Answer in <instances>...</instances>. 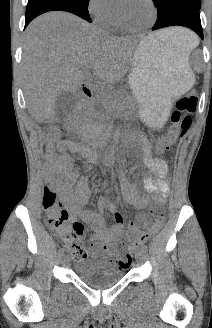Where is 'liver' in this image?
Masks as SVG:
<instances>
[{
  "label": "liver",
  "mask_w": 212,
  "mask_h": 328,
  "mask_svg": "<svg viewBox=\"0 0 212 328\" xmlns=\"http://www.w3.org/2000/svg\"><path fill=\"white\" fill-rule=\"evenodd\" d=\"M180 28L151 34L153 40L180 47ZM135 40L116 37L66 12L54 11L34 19L25 31L22 78L27 109L46 123L56 118L55 102L61 92L76 93L86 81L81 71L94 70L96 89L104 90L127 74Z\"/></svg>",
  "instance_id": "6515ba94"
}]
</instances>
